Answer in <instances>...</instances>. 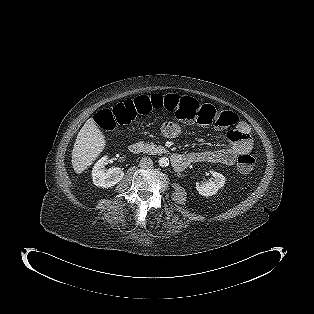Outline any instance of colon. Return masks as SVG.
Instances as JSON below:
<instances>
[{
  "instance_id": "1",
  "label": "colon",
  "mask_w": 314,
  "mask_h": 314,
  "mask_svg": "<svg viewBox=\"0 0 314 314\" xmlns=\"http://www.w3.org/2000/svg\"><path fill=\"white\" fill-rule=\"evenodd\" d=\"M166 109L178 120L184 123H199L213 125L226 129L236 123L232 112L218 111L213 106L200 104L196 99L177 94L142 95L125 100L112 109L99 111L94 118L95 125L104 131L111 132L117 126L132 124L138 117L147 116L152 111ZM255 166V158L251 154H241L237 158V168L242 173H248Z\"/></svg>"
}]
</instances>
